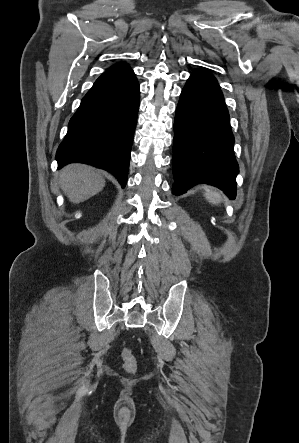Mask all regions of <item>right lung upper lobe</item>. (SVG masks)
I'll return each instance as SVG.
<instances>
[{"mask_svg": "<svg viewBox=\"0 0 299 443\" xmlns=\"http://www.w3.org/2000/svg\"><path fill=\"white\" fill-rule=\"evenodd\" d=\"M125 67H129V66L126 63H118V64L111 66L109 69H120V68H125Z\"/></svg>", "mask_w": 299, "mask_h": 443, "instance_id": "1", "label": "right lung upper lobe"}]
</instances>
